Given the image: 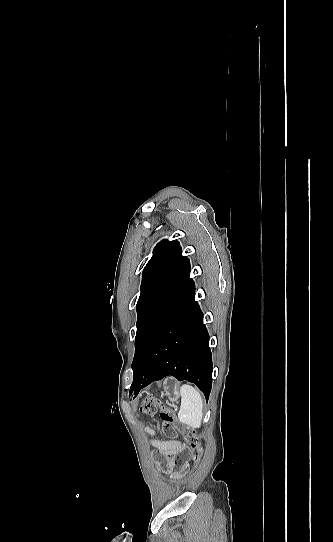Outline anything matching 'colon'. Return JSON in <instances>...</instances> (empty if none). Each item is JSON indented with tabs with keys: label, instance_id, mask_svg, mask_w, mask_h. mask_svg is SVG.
<instances>
[{
	"label": "colon",
	"instance_id": "5ec220e1",
	"mask_svg": "<svg viewBox=\"0 0 333 542\" xmlns=\"http://www.w3.org/2000/svg\"><path fill=\"white\" fill-rule=\"evenodd\" d=\"M158 410H160L164 435L172 439L182 436L189 445L187 454L184 449H175L173 456L162 455L160 458V469L168 475L169 479H174L189 469L190 458L194 463L200 461L203 455V446L196 433L185 424L177 421L172 410L164 407L160 400L149 396L141 406V411L148 416H153Z\"/></svg>",
	"mask_w": 333,
	"mask_h": 542
}]
</instances>
